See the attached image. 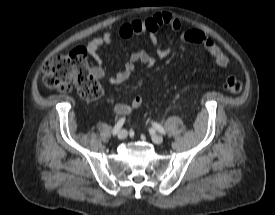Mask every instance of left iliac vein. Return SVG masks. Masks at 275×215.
I'll return each mask as SVG.
<instances>
[{
    "instance_id": "left-iliac-vein-1",
    "label": "left iliac vein",
    "mask_w": 275,
    "mask_h": 215,
    "mask_svg": "<svg viewBox=\"0 0 275 215\" xmlns=\"http://www.w3.org/2000/svg\"><path fill=\"white\" fill-rule=\"evenodd\" d=\"M151 139L156 144H162L164 141L163 137L157 134H152Z\"/></svg>"
}]
</instances>
